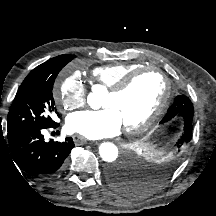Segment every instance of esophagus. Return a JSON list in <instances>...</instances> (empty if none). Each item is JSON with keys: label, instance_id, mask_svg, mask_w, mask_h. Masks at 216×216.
I'll use <instances>...</instances> for the list:
<instances>
[{"label": "esophagus", "instance_id": "34e87169", "mask_svg": "<svg viewBox=\"0 0 216 216\" xmlns=\"http://www.w3.org/2000/svg\"><path fill=\"white\" fill-rule=\"evenodd\" d=\"M73 141L75 142V144L77 145H83L87 142V139L84 138L83 136L79 135V134H74L72 136Z\"/></svg>", "mask_w": 216, "mask_h": 216}]
</instances>
